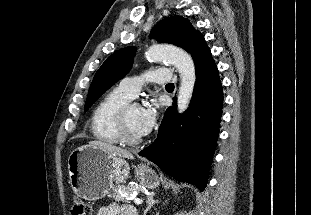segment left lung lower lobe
I'll return each mask as SVG.
<instances>
[{
    "label": "left lung lower lobe",
    "instance_id": "obj_1",
    "mask_svg": "<svg viewBox=\"0 0 311 215\" xmlns=\"http://www.w3.org/2000/svg\"><path fill=\"white\" fill-rule=\"evenodd\" d=\"M195 64L196 83L189 108L177 114L169 107L158 138L139 152L178 181L203 191L219 134L223 92L220 77L204 37L188 51Z\"/></svg>",
    "mask_w": 311,
    "mask_h": 215
}]
</instances>
